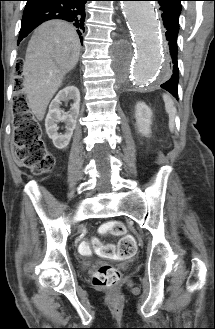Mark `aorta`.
<instances>
[{"label":"aorta","instance_id":"1","mask_svg":"<svg viewBox=\"0 0 215 329\" xmlns=\"http://www.w3.org/2000/svg\"><path fill=\"white\" fill-rule=\"evenodd\" d=\"M121 6L136 48L131 62L134 83L138 88H146L164 78L158 15L150 1H123Z\"/></svg>","mask_w":215,"mask_h":329}]
</instances>
